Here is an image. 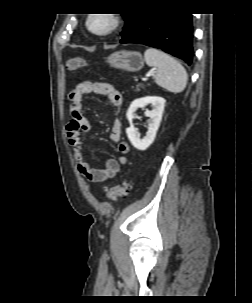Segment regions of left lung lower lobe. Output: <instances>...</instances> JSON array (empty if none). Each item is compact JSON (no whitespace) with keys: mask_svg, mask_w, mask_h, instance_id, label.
I'll return each mask as SVG.
<instances>
[{"mask_svg":"<svg viewBox=\"0 0 252 303\" xmlns=\"http://www.w3.org/2000/svg\"><path fill=\"white\" fill-rule=\"evenodd\" d=\"M193 27L190 13L143 12L132 32L120 43H137L161 49L191 65Z\"/></svg>","mask_w":252,"mask_h":303,"instance_id":"0a47b994","label":"left lung lower lobe"}]
</instances>
